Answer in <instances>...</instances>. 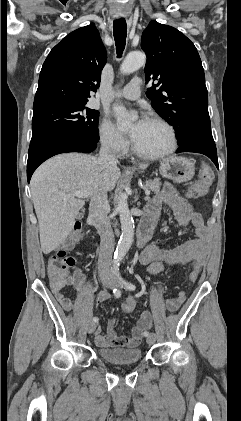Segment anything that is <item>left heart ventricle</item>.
I'll return each instance as SVG.
<instances>
[{"label":"left heart ventricle","instance_id":"left-heart-ventricle-1","mask_svg":"<svg viewBox=\"0 0 241 421\" xmlns=\"http://www.w3.org/2000/svg\"><path fill=\"white\" fill-rule=\"evenodd\" d=\"M135 133L133 142L143 152L158 153L165 150L170 143L168 130L154 122L146 121L145 124L136 131V124L131 128V133Z\"/></svg>","mask_w":241,"mask_h":421}]
</instances>
